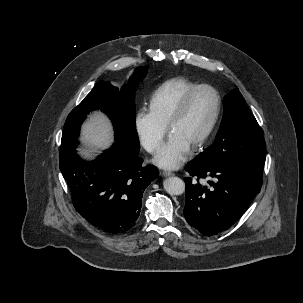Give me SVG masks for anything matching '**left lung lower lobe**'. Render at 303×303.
<instances>
[{
	"instance_id": "0a47b994",
	"label": "left lung lower lobe",
	"mask_w": 303,
	"mask_h": 303,
	"mask_svg": "<svg viewBox=\"0 0 303 303\" xmlns=\"http://www.w3.org/2000/svg\"><path fill=\"white\" fill-rule=\"evenodd\" d=\"M186 221L204 235H215L236 222L260 192L262 178L236 167L198 160L186 165ZM193 177L210 178V187Z\"/></svg>"
}]
</instances>
